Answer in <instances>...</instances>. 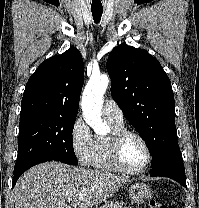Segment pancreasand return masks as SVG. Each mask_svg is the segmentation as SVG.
I'll return each instance as SVG.
<instances>
[{
  "mask_svg": "<svg viewBox=\"0 0 199 208\" xmlns=\"http://www.w3.org/2000/svg\"><path fill=\"white\" fill-rule=\"evenodd\" d=\"M123 202H114V201H110L108 203H105L104 205L100 206V207H96V208H126L123 207Z\"/></svg>",
  "mask_w": 199,
  "mask_h": 208,
  "instance_id": "obj_1",
  "label": "pancreas"
}]
</instances>
